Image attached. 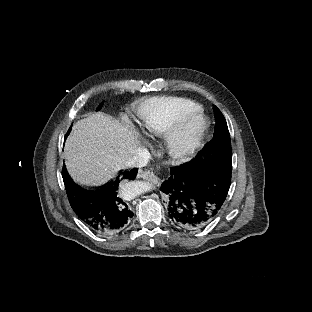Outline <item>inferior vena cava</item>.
<instances>
[{
    "mask_svg": "<svg viewBox=\"0 0 312 312\" xmlns=\"http://www.w3.org/2000/svg\"><path fill=\"white\" fill-rule=\"evenodd\" d=\"M150 158L151 156L147 149L139 148L133 157L124 162L122 168L144 167L147 165Z\"/></svg>",
    "mask_w": 312,
    "mask_h": 312,
    "instance_id": "obj_1",
    "label": "inferior vena cava"
}]
</instances>
